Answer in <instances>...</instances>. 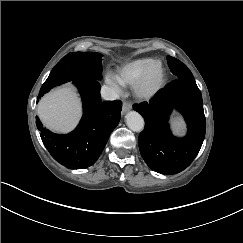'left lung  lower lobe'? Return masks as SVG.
<instances>
[{"label": "left lung lower lobe", "instance_id": "1", "mask_svg": "<svg viewBox=\"0 0 243 243\" xmlns=\"http://www.w3.org/2000/svg\"><path fill=\"white\" fill-rule=\"evenodd\" d=\"M177 108L187 122L184 138L174 137L168 118ZM145 120V129L139 135L140 153L154 171L171 175L183 171L197 156L206 130L203 101L195 80L175 79L159 90L149 102L133 105Z\"/></svg>", "mask_w": 243, "mask_h": 243}]
</instances>
